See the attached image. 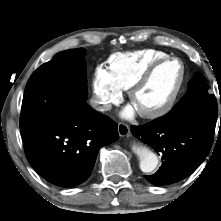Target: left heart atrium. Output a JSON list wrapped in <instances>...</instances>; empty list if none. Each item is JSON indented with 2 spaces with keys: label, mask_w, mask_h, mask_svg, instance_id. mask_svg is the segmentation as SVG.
Listing matches in <instances>:
<instances>
[{
  "label": "left heart atrium",
  "mask_w": 221,
  "mask_h": 221,
  "mask_svg": "<svg viewBox=\"0 0 221 221\" xmlns=\"http://www.w3.org/2000/svg\"><path fill=\"white\" fill-rule=\"evenodd\" d=\"M136 111H137V109L132 104V105L127 106L124 109V111L122 112V115H123V117L131 118V117H133L135 115Z\"/></svg>",
  "instance_id": "39dd6f15"
}]
</instances>
